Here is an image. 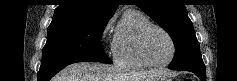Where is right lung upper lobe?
<instances>
[{"mask_svg": "<svg viewBox=\"0 0 237 81\" xmlns=\"http://www.w3.org/2000/svg\"><path fill=\"white\" fill-rule=\"evenodd\" d=\"M119 0H61L55 9L53 19L63 17H84L109 20Z\"/></svg>", "mask_w": 237, "mask_h": 81, "instance_id": "right-lung-upper-lobe-1", "label": "right lung upper lobe"}]
</instances>
